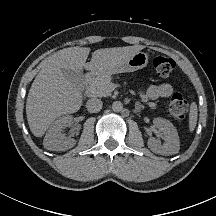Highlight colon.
<instances>
[{"instance_id": "5ec220e1", "label": "colon", "mask_w": 216, "mask_h": 216, "mask_svg": "<svg viewBox=\"0 0 216 216\" xmlns=\"http://www.w3.org/2000/svg\"><path fill=\"white\" fill-rule=\"evenodd\" d=\"M153 66L160 77H168L172 73L175 63L171 58L157 56L153 60ZM169 112L179 122H183L187 116L188 104L180 92H175L170 100Z\"/></svg>"}]
</instances>
